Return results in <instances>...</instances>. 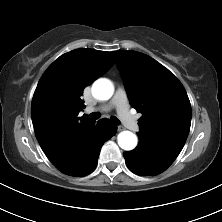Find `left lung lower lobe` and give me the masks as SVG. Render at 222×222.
I'll return each mask as SVG.
<instances>
[{
    "label": "left lung lower lobe",
    "instance_id": "obj_1",
    "mask_svg": "<svg viewBox=\"0 0 222 222\" xmlns=\"http://www.w3.org/2000/svg\"><path fill=\"white\" fill-rule=\"evenodd\" d=\"M128 168L137 175L154 176L165 171L175 160L152 143L139 141L138 146L124 152Z\"/></svg>",
    "mask_w": 222,
    "mask_h": 222
}]
</instances>
